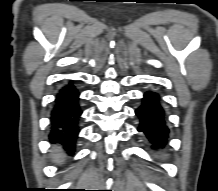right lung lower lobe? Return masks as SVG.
<instances>
[{
  "mask_svg": "<svg viewBox=\"0 0 218 191\" xmlns=\"http://www.w3.org/2000/svg\"><path fill=\"white\" fill-rule=\"evenodd\" d=\"M79 94L73 82L69 81L58 91L50 117V139L70 149L75 148L79 132L78 118L82 113L78 103Z\"/></svg>",
  "mask_w": 218,
  "mask_h": 191,
  "instance_id": "right-lung-lower-lobe-1",
  "label": "right lung lower lobe"
}]
</instances>
